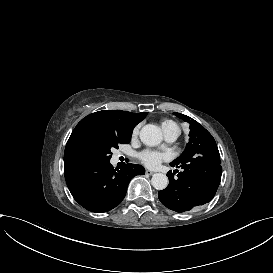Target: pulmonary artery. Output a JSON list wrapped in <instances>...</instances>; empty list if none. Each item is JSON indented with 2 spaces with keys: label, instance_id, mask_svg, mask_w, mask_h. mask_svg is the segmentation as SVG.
<instances>
[{
  "label": "pulmonary artery",
  "instance_id": "obj_1",
  "mask_svg": "<svg viewBox=\"0 0 273 273\" xmlns=\"http://www.w3.org/2000/svg\"><path fill=\"white\" fill-rule=\"evenodd\" d=\"M164 137L167 142L172 143L177 139V134L175 132L170 131V130H165Z\"/></svg>",
  "mask_w": 273,
  "mask_h": 273
}]
</instances>
